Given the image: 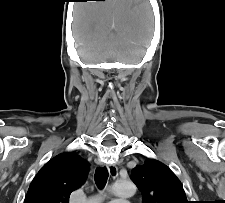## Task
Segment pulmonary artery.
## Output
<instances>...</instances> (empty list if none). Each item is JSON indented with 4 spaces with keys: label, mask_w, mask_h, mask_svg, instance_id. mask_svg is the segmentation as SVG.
I'll list each match as a JSON object with an SVG mask.
<instances>
[{
    "label": "pulmonary artery",
    "mask_w": 225,
    "mask_h": 203,
    "mask_svg": "<svg viewBox=\"0 0 225 203\" xmlns=\"http://www.w3.org/2000/svg\"><path fill=\"white\" fill-rule=\"evenodd\" d=\"M109 203H129L128 201H112V202H109Z\"/></svg>",
    "instance_id": "obj_1"
}]
</instances>
